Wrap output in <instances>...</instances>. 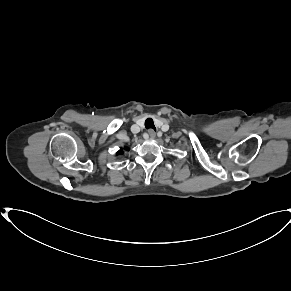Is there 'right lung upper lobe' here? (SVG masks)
Returning a JSON list of instances; mask_svg holds the SVG:
<instances>
[{"instance_id":"right-lung-upper-lobe-1","label":"right lung upper lobe","mask_w":291,"mask_h":291,"mask_svg":"<svg viewBox=\"0 0 291 291\" xmlns=\"http://www.w3.org/2000/svg\"><path fill=\"white\" fill-rule=\"evenodd\" d=\"M126 150H128V148H126ZM123 153V151H122V148L117 152V155H120V154H122Z\"/></svg>"}]
</instances>
